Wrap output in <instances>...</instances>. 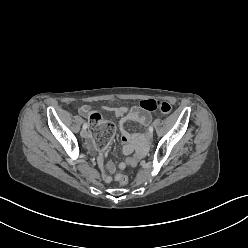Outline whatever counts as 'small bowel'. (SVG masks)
Returning a JSON list of instances; mask_svg holds the SVG:
<instances>
[{"label": "small bowel", "instance_id": "small-bowel-1", "mask_svg": "<svg viewBox=\"0 0 248 248\" xmlns=\"http://www.w3.org/2000/svg\"><path fill=\"white\" fill-rule=\"evenodd\" d=\"M104 110L113 111L117 117H121L120 119V132L121 139L124 143L123 152L125 154H130L133 150H136V158L132 161V163H136V160L144 153L146 147V138L142 133H129L125 124L129 121L136 122L142 126H147L151 122L150 113L142 110L139 106H134L132 108H128L126 106H118L115 108H111L109 106H102ZM79 113L84 116L90 118L93 113L91 107L89 105H82L78 108ZM87 145L89 148H95L94 140L90 135L87 139ZM103 167V178L106 182H112L113 178L111 176L112 167H106L102 163ZM119 167H124V164H119Z\"/></svg>", "mask_w": 248, "mask_h": 248}]
</instances>
